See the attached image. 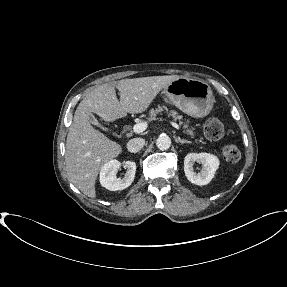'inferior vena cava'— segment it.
Here are the masks:
<instances>
[{
    "mask_svg": "<svg viewBox=\"0 0 287 287\" xmlns=\"http://www.w3.org/2000/svg\"><path fill=\"white\" fill-rule=\"evenodd\" d=\"M145 144V140L143 138H133L127 143V150L131 153L139 152Z\"/></svg>",
    "mask_w": 287,
    "mask_h": 287,
    "instance_id": "inferior-vena-cava-1",
    "label": "inferior vena cava"
}]
</instances>
